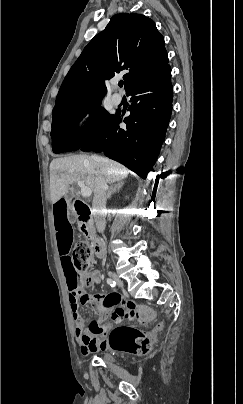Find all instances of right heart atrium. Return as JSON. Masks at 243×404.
I'll return each instance as SVG.
<instances>
[{"instance_id":"1","label":"right heart atrium","mask_w":243,"mask_h":404,"mask_svg":"<svg viewBox=\"0 0 243 404\" xmlns=\"http://www.w3.org/2000/svg\"><path fill=\"white\" fill-rule=\"evenodd\" d=\"M98 120L95 109L86 107L79 110L71 123V133L76 138H86L94 130Z\"/></svg>"}]
</instances>
